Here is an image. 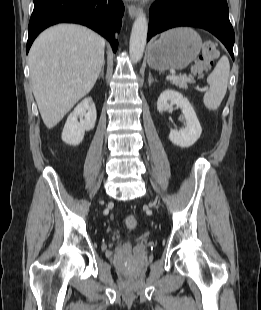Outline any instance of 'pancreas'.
Here are the masks:
<instances>
[{"mask_svg":"<svg viewBox=\"0 0 261 310\" xmlns=\"http://www.w3.org/2000/svg\"><path fill=\"white\" fill-rule=\"evenodd\" d=\"M193 77L192 76H187V75H178L176 76L175 79H172L171 82L172 84L182 88V89H187V83L192 82Z\"/></svg>","mask_w":261,"mask_h":310,"instance_id":"obj_1","label":"pancreas"}]
</instances>
